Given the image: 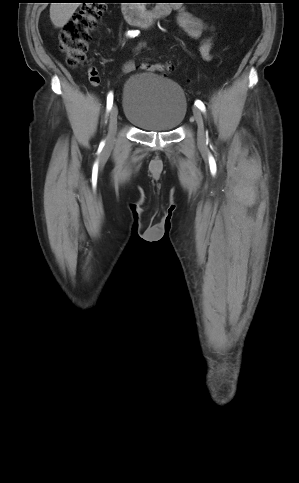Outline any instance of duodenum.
Returning a JSON list of instances; mask_svg holds the SVG:
<instances>
[{"instance_id": "obj_1", "label": "duodenum", "mask_w": 299, "mask_h": 483, "mask_svg": "<svg viewBox=\"0 0 299 483\" xmlns=\"http://www.w3.org/2000/svg\"><path fill=\"white\" fill-rule=\"evenodd\" d=\"M171 11L167 2H161L157 6L148 9L140 6L135 0H125L122 6L124 19L139 27H150L156 20L166 17Z\"/></svg>"}]
</instances>
